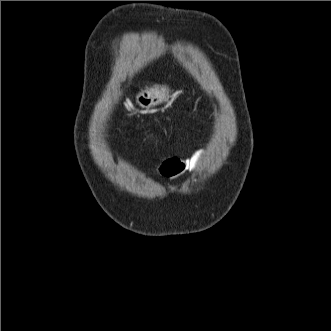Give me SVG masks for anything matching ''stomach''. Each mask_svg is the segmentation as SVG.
Returning <instances> with one entry per match:
<instances>
[{"instance_id": "1", "label": "stomach", "mask_w": 331, "mask_h": 331, "mask_svg": "<svg viewBox=\"0 0 331 331\" xmlns=\"http://www.w3.org/2000/svg\"><path fill=\"white\" fill-rule=\"evenodd\" d=\"M169 90L165 86L155 85L141 90L136 95V102L142 108H151L162 102L168 97Z\"/></svg>"}]
</instances>
